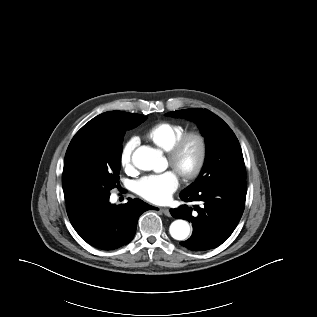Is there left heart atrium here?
<instances>
[{
	"label": "left heart atrium",
	"mask_w": 317,
	"mask_h": 317,
	"mask_svg": "<svg viewBox=\"0 0 317 317\" xmlns=\"http://www.w3.org/2000/svg\"><path fill=\"white\" fill-rule=\"evenodd\" d=\"M178 186L177 174L173 171H166L142 177L136 182L135 189L144 199L152 203L163 204L170 200Z\"/></svg>",
	"instance_id": "left-heart-atrium-1"
}]
</instances>
